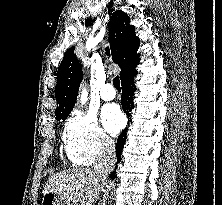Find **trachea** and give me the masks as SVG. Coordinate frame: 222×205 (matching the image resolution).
<instances>
[{
	"instance_id": "obj_1",
	"label": "trachea",
	"mask_w": 222,
	"mask_h": 205,
	"mask_svg": "<svg viewBox=\"0 0 222 205\" xmlns=\"http://www.w3.org/2000/svg\"><path fill=\"white\" fill-rule=\"evenodd\" d=\"M106 55H107V56H110V51H109V48H108V47L106 48ZM113 85H114V87H115L117 90H120V89H121V87H120V80H119V77H118V76H116V77L114 78V80H113Z\"/></svg>"
}]
</instances>
